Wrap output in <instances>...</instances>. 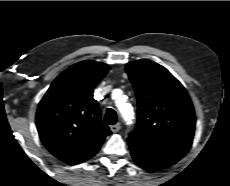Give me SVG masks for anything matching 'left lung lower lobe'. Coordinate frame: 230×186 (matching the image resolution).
I'll return each mask as SVG.
<instances>
[{
	"label": "left lung lower lobe",
	"mask_w": 230,
	"mask_h": 186,
	"mask_svg": "<svg viewBox=\"0 0 230 186\" xmlns=\"http://www.w3.org/2000/svg\"><path fill=\"white\" fill-rule=\"evenodd\" d=\"M130 150H131V155L133 157V160L140 167L148 171H156V170L164 169L177 162V160L167 158V157L144 154L133 148H130Z\"/></svg>",
	"instance_id": "0a47b994"
}]
</instances>
